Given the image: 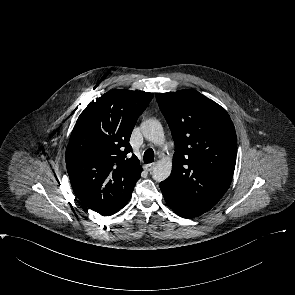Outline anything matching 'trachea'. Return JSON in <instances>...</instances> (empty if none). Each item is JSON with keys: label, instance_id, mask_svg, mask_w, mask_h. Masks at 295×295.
I'll return each mask as SVG.
<instances>
[{"label": "trachea", "instance_id": "trachea-1", "mask_svg": "<svg viewBox=\"0 0 295 295\" xmlns=\"http://www.w3.org/2000/svg\"><path fill=\"white\" fill-rule=\"evenodd\" d=\"M154 161V151L150 148L144 152V163H152Z\"/></svg>", "mask_w": 295, "mask_h": 295}]
</instances>
